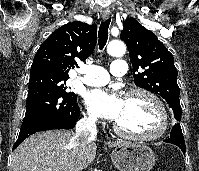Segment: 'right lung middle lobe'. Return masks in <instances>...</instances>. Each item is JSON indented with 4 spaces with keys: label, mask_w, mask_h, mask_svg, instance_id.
<instances>
[{
    "label": "right lung middle lobe",
    "mask_w": 199,
    "mask_h": 171,
    "mask_svg": "<svg viewBox=\"0 0 199 171\" xmlns=\"http://www.w3.org/2000/svg\"><path fill=\"white\" fill-rule=\"evenodd\" d=\"M67 77H59L49 74H39L30 76L29 88L39 85H46L55 88L59 92L63 93L64 96L77 99V96L73 92H68L66 87Z\"/></svg>",
    "instance_id": "dd1d6c3e"
}]
</instances>
